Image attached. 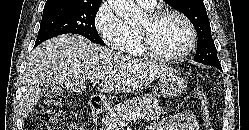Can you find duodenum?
<instances>
[{"label": "duodenum", "mask_w": 249, "mask_h": 130, "mask_svg": "<svg viewBox=\"0 0 249 130\" xmlns=\"http://www.w3.org/2000/svg\"><path fill=\"white\" fill-rule=\"evenodd\" d=\"M90 108L95 113H100L103 111L102 99L98 96H93L89 101Z\"/></svg>", "instance_id": "obj_1"}]
</instances>
